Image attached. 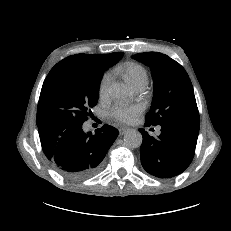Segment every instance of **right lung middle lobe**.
Wrapping results in <instances>:
<instances>
[{
	"label": "right lung middle lobe",
	"instance_id": "dd1d6c3e",
	"mask_svg": "<svg viewBox=\"0 0 231 231\" xmlns=\"http://www.w3.org/2000/svg\"><path fill=\"white\" fill-rule=\"evenodd\" d=\"M122 52L102 61L63 59L47 75L37 108V126L52 123L81 124L98 102L103 73L119 61Z\"/></svg>",
	"mask_w": 231,
	"mask_h": 231
}]
</instances>
